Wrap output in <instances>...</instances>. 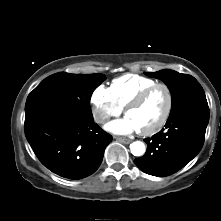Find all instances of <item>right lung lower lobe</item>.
I'll return each instance as SVG.
<instances>
[{
  "mask_svg": "<svg viewBox=\"0 0 221 221\" xmlns=\"http://www.w3.org/2000/svg\"><path fill=\"white\" fill-rule=\"evenodd\" d=\"M25 135L41 163L68 179L93 174L112 140L93 119L80 118L55 104L25 113Z\"/></svg>",
  "mask_w": 221,
  "mask_h": 221,
  "instance_id": "obj_1",
  "label": "right lung lower lobe"
}]
</instances>
